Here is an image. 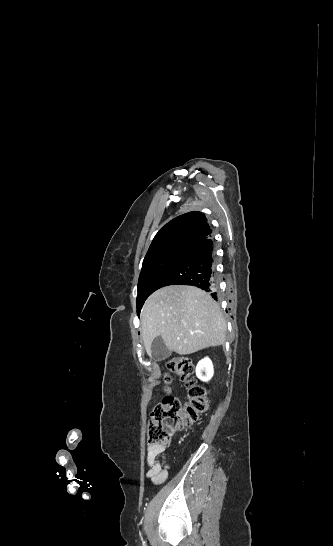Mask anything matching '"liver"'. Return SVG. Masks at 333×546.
<instances>
[{
  "label": "liver",
  "mask_w": 333,
  "mask_h": 546,
  "mask_svg": "<svg viewBox=\"0 0 333 546\" xmlns=\"http://www.w3.org/2000/svg\"><path fill=\"white\" fill-rule=\"evenodd\" d=\"M141 323L149 356L157 336L162 337L170 351L188 355L222 345L227 329L221 309L211 295L185 285L166 286L150 295L142 309Z\"/></svg>",
  "instance_id": "1"
}]
</instances>
